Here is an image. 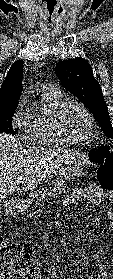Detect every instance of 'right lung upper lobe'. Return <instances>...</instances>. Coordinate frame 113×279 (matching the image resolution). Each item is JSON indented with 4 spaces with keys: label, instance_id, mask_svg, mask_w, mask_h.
I'll return each instance as SVG.
<instances>
[{
    "label": "right lung upper lobe",
    "instance_id": "obj_1",
    "mask_svg": "<svg viewBox=\"0 0 113 279\" xmlns=\"http://www.w3.org/2000/svg\"><path fill=\"white\" fill-rule=\"evenodd\" d=\"M23 61H15L0 87V110L16 108L23 78Z\"/></svg>",
    "mask_w": 113,
    "mask_h": 279
}]
</instances>
